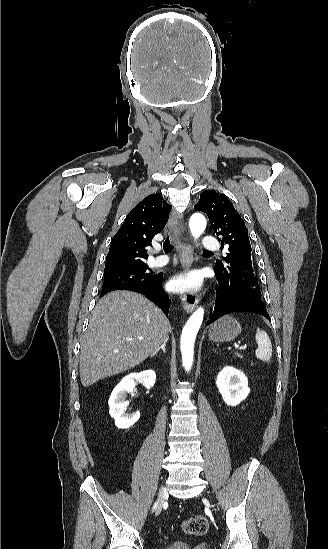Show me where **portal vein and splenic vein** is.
<instances>
[{"mask_svg":"<svg viewBox=\"0 0 328 549\" xmlns=\"http://www.w3.org/2000/svg\"><path fill=\"white\" fill-rule=\"evenodd\" d=\"M138 339H143V337H138ZM236 349H238V351H242V350H245V348H248V345H241V348H238L239 345H235Z\"/></svg>","mask_w":328,"mask_h":549,"instance_id":"portal-vein-and-splenic-vein-1","label":"portal vein and splenic vein"}]
</instances>
